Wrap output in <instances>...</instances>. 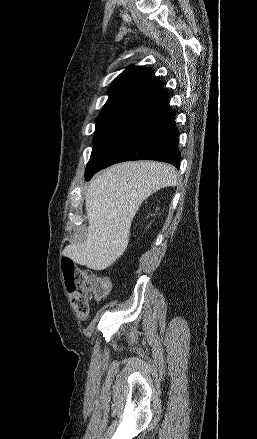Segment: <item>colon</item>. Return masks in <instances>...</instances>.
<instances>
[{"label":"colon","mask_w":257,"mask_h":439,"mask_svg":"<svg viewBox=\"0 0 257 439\" xmlns=\"http://www.w3.org/2000/svg\"><path fill=\"white\" fill-rule=\"evenodd\" d=\"M65 284L72 305L78 315L86 317L90 311L89 300L105 297L110 291V281L105 276L91 275L69 259L62 261Z\"/></svg>","instance_id":"5ec220e1"}]
</instances>
